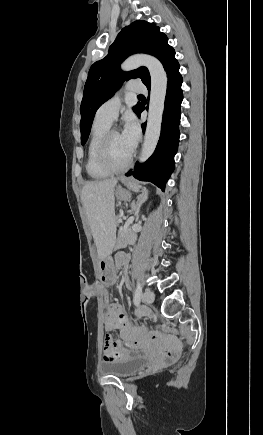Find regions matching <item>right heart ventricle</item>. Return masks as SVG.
I'll list each match as a JSON object with an SVG mask.
<instances>
[{
	"label": "right heart ventricle",
	"instance_id": "1",
	"mask_svg": "<svg viewBox=\"0 0 263 435\" xmlns=\"http://www.w3.org/2000/svg\"><path fill=\"white\" fill-rule=\"evenodd\" d=\"M110 126L111 123L99 120L97 118H95L93 121L87 145V155L85 163L86 173L92 179H104L110 175V173L102 169L97 162V149L99 143L105 132L110 128Z\"/></svg>",
	"mask_w": 263,
	"mask_h": 435
}]
</instances>
